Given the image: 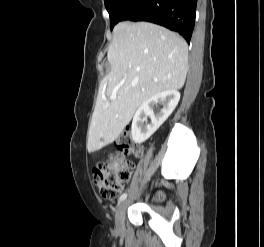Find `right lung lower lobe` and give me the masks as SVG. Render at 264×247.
Returning <instances> with one entry per match:
<instances>
[{
    "mask_svg": "<svg viewBox=\"0 0 264 247\" xmlns=\"http://www.w3.org/2000/svg\"><path fill=\"white\" fill-rule=\"evenodd\" d=\"M197 0H132L120 21H147L178 32L190 42Z\"/></svg>",
    "mask_w": 264,
    "mask_h": 247,
    "instance_id": "right-lung-lower-lobe-1",
    "label": "right lung lower lobe"
}]
</instances>
